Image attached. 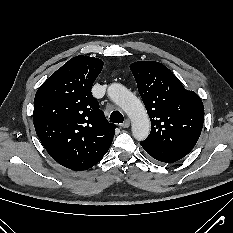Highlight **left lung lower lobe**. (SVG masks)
I'll use <instances>...</instances> for the list:
<instances>
[{
    "label": "left lung lower lobe",
    "mask_w": 233,
    "mask_h": 233,
    "mask_svg": "<svg viewBox=\"0 0 233 233\" xmlns=\"http://www.w3.org/2000/svg\"><path fill=\"white\" fill-rule=\"evenodd\" d=\"M141 145L151 157L165 163L176 162L188 154L185 152L162 147L146 140L142 141Z\"/></svg>",
    "instance_id": "left-lung-lower-lobe-1"
}]
</instances>
